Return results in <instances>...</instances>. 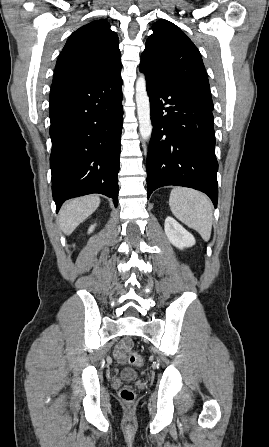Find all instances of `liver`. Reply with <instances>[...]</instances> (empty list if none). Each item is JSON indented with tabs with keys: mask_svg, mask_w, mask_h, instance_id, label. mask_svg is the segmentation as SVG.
<instances>
[{
	"mask_svg": "<svg viewBox=\"0 0 269 447\" xmlns=\"http://www.w3.org/2000/svg\"><path fill=\"white\" fill-rule=\"evenodd\" d=\"M99 204L100 198L98 196H83V198L69 200L60 210V229L66 235H70L77 225L84 222L88 216H91L99 208Z\"/></svg>",
	"mask_w": 269,
	"mask_h": 447,
	"instance_id": "6515ba94",
	"label": "liver"
}]
</instances>
